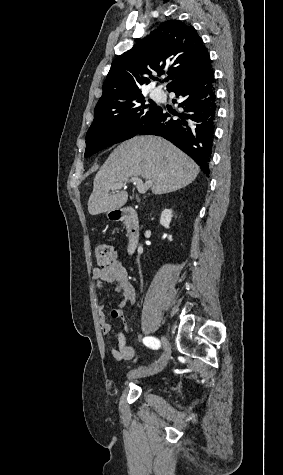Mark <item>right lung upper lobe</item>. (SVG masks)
I'll return each mask as SVG.
<instances>
[{"label":"right lung upper lobe","instance_id":"cb5924a9","mask_svg":"<svg viewBox=\"0 0 283 475\" xmlns=\"http://www.w3.org/2000/svg\"><path fill=\"white\" fill-rule=\"evenodd\" d=\"M211 69L209 53L194 27L177 20L161 24L134 47L117 57L103 84L95 108L123 103L141 95L139 86L167 74V90Z\"/></svg>","mask_w":283,"mask_h":475}]
</instances>
